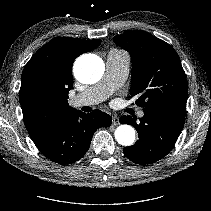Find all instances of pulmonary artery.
<instances>
[{
  "label": "pulmonary artery",
  "mask_w": 211,
  "mask_h": 211,
  "mask_svg": "<svg viewBox=\"0 0 211 211\" xmlns=\"http://www.w3.org/2000/svg\"><path fill=\"white\" fill-rule=\"evenodd\" d=\"M130 59L126 53L118 50H111L106 57V71L103 79L84 92L77 94L71 99L74 107L98 104L118 89L129 74ZM139 117L144 116L143 111H139Z\"/></svg>",
  "instance_id": "e3ab8cb5"
}]
</instances>
